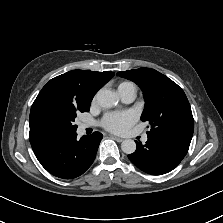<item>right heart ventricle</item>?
Returning <instances> with one entry per match:
<instances>
[{"label":"right heart ventricle","instance_id":"e07e8e85","mask_svg":"<svg viewBox=\"0 0 223 223\" xmlns=\"http://www.w3.org/2000/svg\"><path fill=\"white\" fill-rule=\"evenodd\" d=\"M128 84H131V83H128V82H124V83H122L121 85H128ZM120 85V86H121ZM133 85V84H132Z\"/></svg>","mask_w":223,"mask_h":223}]
</instances>
